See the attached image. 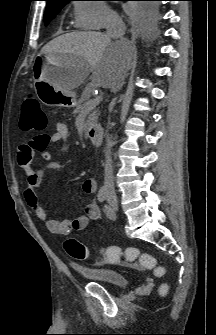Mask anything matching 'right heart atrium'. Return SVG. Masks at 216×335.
Listing matches in <instances>:
<instances>
[{"label": "right heart atrium", "mask_w": 216, "mask_h": 335, "mask_svg": "<svg viewBox=\"0 0 216 335\" xmlns=\"http://www.w3.org/2000/svg\"><path fill=\"white\" fill-rule=\"evenodd\" d=\"M76 24L82 29L99 30L120 20L118 14L100 1L83 0L74 5Z\"/></svg>", "instance_id": "right-heart-atrium-1"}]
</instances>
